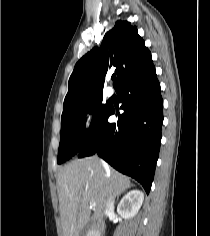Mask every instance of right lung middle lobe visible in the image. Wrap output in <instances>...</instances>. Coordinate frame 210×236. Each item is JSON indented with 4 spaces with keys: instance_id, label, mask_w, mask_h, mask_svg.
I'll return each instance as SVG.
<instances>
[{
    "instance_id": "obj_1",
    "label": "right lung middle lobe",
    "mask_w": 210,
    "mask_h": 236,
    "mask_svg": "<svg viewBox=\"0 0 210 236\" xmlns=\"http://www.w3.org/2000/svg\"><path fill=\"white\" fill-rule=\"evenodd\" d=\"M110 106L102 104V96L93 98L81 107L62 113L60 145L57 163L76 155L86 144L83 135L92 137L106 116ZM94 114L90 128L85 130V116Z\"/></svg>"
}]
</instances>
